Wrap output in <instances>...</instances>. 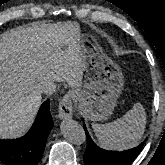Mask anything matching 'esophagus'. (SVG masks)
<instances>
[{
	"instance_id": "esophagus-1",
	"label": "esophagus",
	"mask_w": 165,
	"mask_h": 165,
	"mask_svg": "<svg viewBox=\"0 0 165 165\" xmlns=\"http://www.w3.org/2000/svg\"><path fill=\"white\" fill-rule=\"evenodd\" d=\"M73 93L68 92L61 102L59 103V114L58 117L62 120H68L73 116V107H72V100H73Z\"/></svg>"
}]
</instances>
